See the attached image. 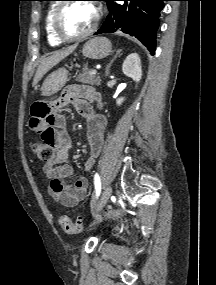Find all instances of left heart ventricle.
<instances>
[{
    "instance_id": "b2bd125f",
    "label": "left heart ventricle",
    "mask_w": 216,
    "mask_h": 285,
    "mask_svg": "<svg viewBox=\"0 0 216 285\" xmlns=\"http://www.w3.org/2000/svg\"><path fill=\"white\" fill-rule=\"evenodd\" d=\"M96 9L88 2L70 4L61 19V28L67 35H79L87 31L94 23Z\"/></svg>"
}]
</instances>
